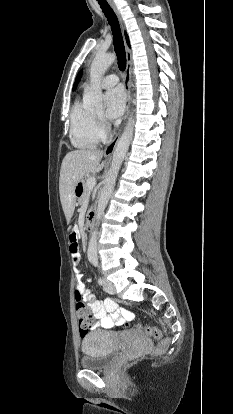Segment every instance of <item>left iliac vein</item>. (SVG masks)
<instances>
[{
    "label": "left iliac vein",
    "mask_w": 233,
    "mask_h": 414,
    "mask_svg": "<svg viewBox=\"0 0 233 414\" xmlns=\"http://www.w3.org/2000/svg\"><path fill=\"white\" fill-rule=\"evenodd\" d=\"M103 288L109 294H114L115 293V287H114L113 283L110 282L109 280H104Z\"/></svg>",
    "instance_id": "4c4485c4"
}]
</instances>
